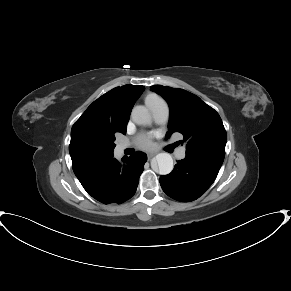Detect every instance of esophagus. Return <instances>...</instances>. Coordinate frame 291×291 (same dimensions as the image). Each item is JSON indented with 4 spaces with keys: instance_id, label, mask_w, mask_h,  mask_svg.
I'll return each mask as SVG.
<instances>
[{
    "instance_id": "obj_1",
    "label": "esophagus",
    "mask_w": 291,
    "mask_h": 291,
    "mask_svg": "<svg viewBox=\"0 0 291 291\" xmlns=\"http://www.w3.org/2000/svg\"><path fill=\"white\" fill-rule=\"evenodd\" d=\"M155 155H156V153H148V154H147V157H148V159H151V158H153Z\"/></svg>"
}]
</instances>
